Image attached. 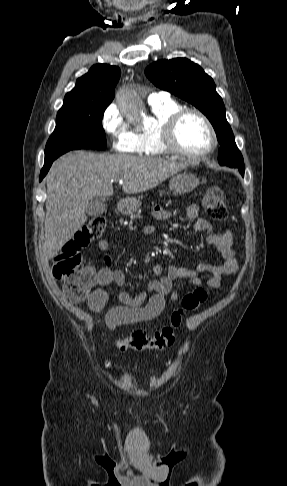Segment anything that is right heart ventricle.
Here are the masks:
<instances>
[{
	"mask_svg": "<svg viewBox=\"0 0 287 486\" xmlns=\"http://www.w3.org/2000/svg\"><path fill=\"white\" fill-rule=\"evenodd\" d=\"M151 111L155 116L156 123L148 128L135 132L137 147L135 153L147 157H159L167 155L168 152L161 144L159 131L167 118L178 111L181 106L172 99L150 103Z\"/></svg>",
	"mask_w": 287,
	"mask_h": 486,
	"instance_id": "right-heart-ventricle-1",
	"label": "right heart ventricle"
}]
</instances>
